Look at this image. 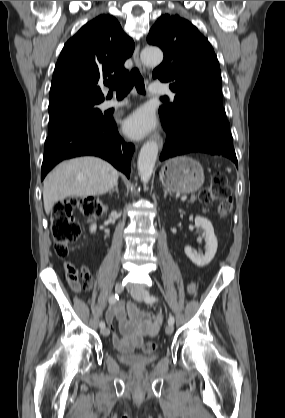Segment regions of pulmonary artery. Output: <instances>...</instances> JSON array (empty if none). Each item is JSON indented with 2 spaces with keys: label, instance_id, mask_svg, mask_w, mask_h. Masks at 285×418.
<instances>
[{
  "label": "pulmonary artery",
  "instance_id": "obj_1",
  "mask_svg": "<svg viewBox=\"0 0 285 418\" xmlns=\"http://www.w3.org/2000/svg\"><path fill=\"white\" fill-rule=\"evenodd\" d=\"M153 94H166L170 96H175V93L167 86L164 85H154L151 89ZM127 104V101H117L115 99H107L103 102V109H118Z\"/></svg>",
  "mask_w": 285,
  "mask_h": 418
}]
</instances>
